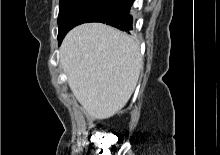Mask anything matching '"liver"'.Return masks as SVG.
I'll return each instance as SVG.
<instances>
[{"label":"liver","instance_id":"obj_1","mask_svg":"<svg viewBox=\"0 0 220 155\" xmlns=\"http://www.w3.org/2000/svg\"><path fill=\"white\" fill-rule=\"evenodd\" d=\"M60 66L88 117L106 119L129 101L143 67L139 46L101 23L72 29L60 47Z\"/></svg>","mask_w":220,"mask_h":155}]
</instances>
